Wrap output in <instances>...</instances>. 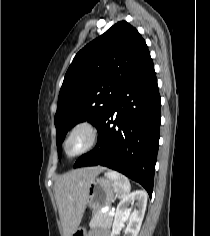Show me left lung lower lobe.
<instances>
[{"mask_svg":"<svg viewBox=\"0 0 210 236\" xmlns=\"http://www.w3.org/2000/svg\"><path fill=\"white\" fill-rule=\"evenodd\" d=\"M160 102L151 60L119 92L97 128L96 147L81 156L74 168L109 167L140 183L151 197L159 145Z\"/></svg>","mask_w":210,"mask_h":236,"instance_id":"left-lung-lower-lobe-1","label":"left lung lower lobe"}]
</instances>
